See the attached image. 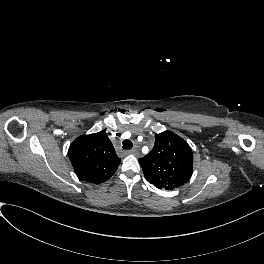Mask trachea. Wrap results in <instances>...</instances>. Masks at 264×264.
Segmentation results:
<instances>
[{
	"instance_id": "obj_1",
	"label": "trachea",
	"mask_w": 264,
	"mask_h": 264,
	"mask_svg": "<svg viewBox=\"0 0 264 264\" xmlns=\"http://www.w3.org/2000/svg\"><path fill=\"white\" fill-rule=\"evenodd\" d=\"M133 147V143H132V141H130V140H124L123 142H122V148L123 149H131Z\"/></svg>"
}]
</instances>
